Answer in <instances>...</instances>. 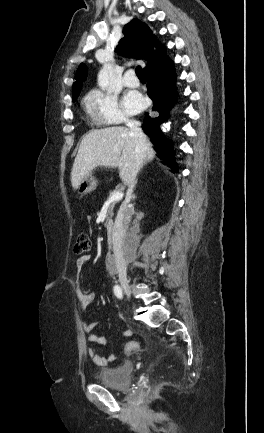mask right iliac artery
<instances>
[{
  "label": "right iliac artery",
  "instance_id": "82829eb1",
  "mask_svg": "<svg viewBox=\"0 0 264 433\" xmlns=\"http://www.w3.org/2000/svg\"><path fill=\"white\" fill-rule=\"evenodd\" d=\"M113 290H114V294L116 295L117 298L121 299L123 297V292H122V289L120 286L115 285Z\"/></svg>",
  "mask_w": 264,
  "mask_h": 433
}]
</instances>
